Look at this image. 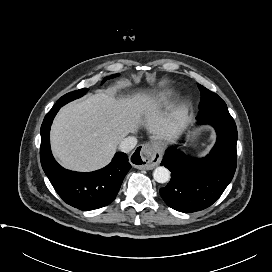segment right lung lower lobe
Wrapping results in <instances>:
<instances>
[{
    "label": "right lung lower lobe",
    "instance_id": "obj_1",
    "mask_svg": "<svg viewBox=\"0 0 272 272\" xmlns=\"http://www.w3.org/2000/svg\"><path fill=\"white\" fill-rule=\"evenodd\" d=\"M61 105H54L41 126V165L58 195L80 210H93L110 204L130 170L127 155L118 152L106 167L89 173L66 170L53 158L50 149V127Z\"/></svg>",
    "mask_w": 272,
    "mask_h": 272
}]
</instances>
